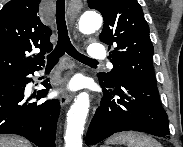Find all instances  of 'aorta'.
I'll use <instances>...</instances> for the list:
<instances>
[{
  "mask_svg": "<svg viewBox=\"0 0 183 147\" xmlns=\"http://www.w3.org/2000/svg\"><path fill=\"white\" fill-rule=\"evenodd\" d=\"M100 14L92 11L83 13L78 20L79 30L90 34L102 26ZM90 99L86 92H81L74 100L67 114V129L65 134V147H82V134L89 112Z\"/></svg>",
  "mask_w": 183,
  "mask_h": 147,
  "instance_id": "1",
  "label": "aorta"
}]
</instances>
